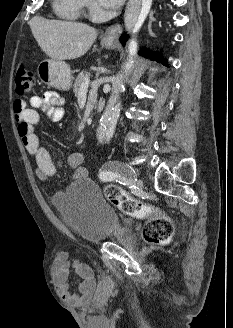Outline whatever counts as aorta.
<instances>
[{
  "label": "aorta",
  "mask_w": 233,
  "mask_h": 328,
  "mask_svg": "<svg viewBox=\"0 0 233 328\" xmlns=\"http://www.w3.org/2000/svg\"><path fill=\"white\" fill-rule=\"evenodd\" d=\"M152 0H129L124 14V25L127 31L133 28L137 32L145 21L151 8ZM129 60L127 71L134 65V56L137 53V41L132 39L129 47ZM123 88V75L118 74L112 79V91L105 110L101 116L97 128V140L99 143H109L113 137L117 121L120 116L121 102L119 95Z\"/></svg>",
  "instance_id": "1"
}]
</instances>
